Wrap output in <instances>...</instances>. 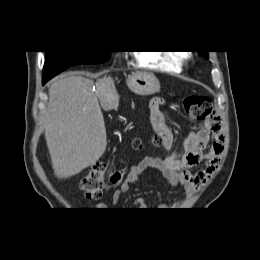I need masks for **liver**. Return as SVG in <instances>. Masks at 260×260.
I'll return each mask as SVG.
<instances>
[{"instance_id": "obj_1", "label": "liver", "mask_w": 260, "mask_h": 260, "mask_svg": "<svg viewBox=\"0 0 260 260\" xmlns=\"http://www.w3.org/2000/svg\"><path fill=\"white\" fill-rule=\"evenodd\" d=\"M143 73V72H137ZM94 81L62 75L49 88L45 139L55 175L70 178L95 164L107 147L106 128L99 105L117 96L109 77Z\"/></svg>"}]
</instances>
